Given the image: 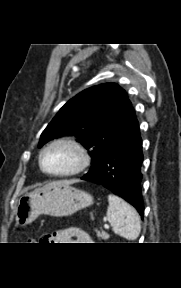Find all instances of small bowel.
<instances>
[{"instance_id":"1","label":"small bowel","mask_w":181,"mask_h":288,"mask_svg":"<svg viewBox=\"0 0 181 288\" xmlns=\"http://www.w3.org/2000/svg\"><path fill=\"white\" fill-rule=\"evenodd\" d=\"M91 240L90 236L78 228H67L56 231L44 238L47 243H78L85 244Z\"/></svg>"}]
</instances>
